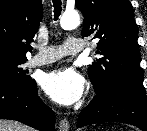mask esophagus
<instances>
[{"instance_id":"obj_1","label":"esophagus","mask_w":147,"mask_h":131,"mask_svg":"<svg viewBox=\"0 0 147 131\" xmlns=\"http://www.w3.org/2000/svg\"><path fill=\"white\" fill-rule=\"evenodd\" d=\"M70 125L66 118H63L59 123V131H69Z\"/></svg>"}]
</instances>
